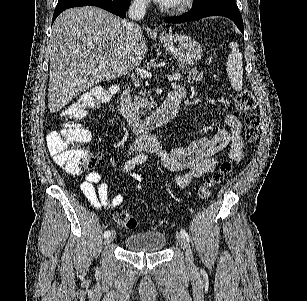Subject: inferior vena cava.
Listing matches in <instances>:
<instances>
[{"label": "inferior vena cava", "instance_id": "602c4592", "mask_svg": "<svg viewBox=\"0 0 307 301\" xmlns=\"http://www.w3.org/2000/svg\"><path fill=\"white\" fill-rule=\"evenodd\" d=\"M149 2L150 0H132L128 10L129 18H132V20H141V18H144ZM125 26L128 30V34H131V36H136V34H138L140 24H136V22H126Z\"/></svg>", "mask_w": 307, "mask_h": 301}]
</instances>
